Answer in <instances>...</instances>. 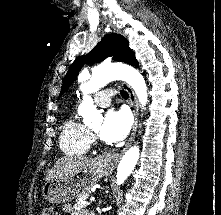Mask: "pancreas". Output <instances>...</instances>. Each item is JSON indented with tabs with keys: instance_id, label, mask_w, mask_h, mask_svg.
Returning a JSON list of instances; mask_svg holds the SVG:
<instances>
[{
	"instance_id": "obj_1",
	"label": "pancreas",
	"mask_w": 221,
	"mask_h": 215,
	"mask_svg": "<svg viewBox=\"0 0 221 215\" xmlns=\"http://www.w3.org/2000/svg\"><path fill=\"white\" fill-rule=\"evenodd\" d=\"M89 194H90V192L81 195V196L75 201L74 208H75V209H84V208H86L87 206H89L90 203L85 201V200L88 198Z\"/></svg>"
}]
</instances>
